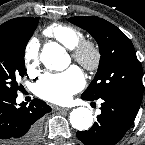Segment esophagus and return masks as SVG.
Wrapping results in <instances>:
<instances>
[{
    "mask_svg": "<svg viewBox=\"0 0 145 145\" xmlns=\"http://www.w3.org/2000/svg\"><path fill=\"white\" fill-rule=\"evenodd\" d=\"M57 111L63 112V111H69V108H64V107H56Z\"/></svg>",
    "mask_w": 145,
    "mask_h": 145,
    "instance_id": "34e87169",
    "label": "esophagus"
}]
</instances>
